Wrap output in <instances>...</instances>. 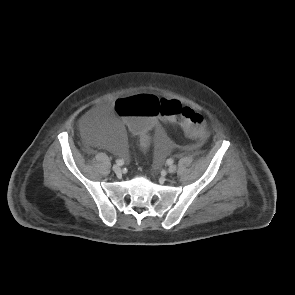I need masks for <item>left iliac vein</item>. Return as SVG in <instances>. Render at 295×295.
<instances>
[{
	"label": "left iliac vein",
	"instance_id": "left-iliac-vein-1",
	"mask_svg": "<svg viewBox=\"0 0 295 295\" xmlns=\"http://www.w3.org/2000/svg\"><path fill=\"white\" fill-rule=\"evenodd\" d=\"M176 170H177V166L174 164L170 165L168 168L169 173H174Z\"/></svg>",
	"mask_w": 295,
	"mask_h": 295
}]
</instances>
